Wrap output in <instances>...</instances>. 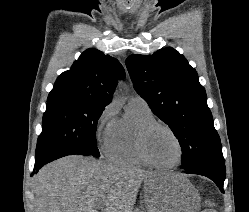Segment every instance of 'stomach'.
I'll list each match as a JSON object with an SVG mask.
<instances>
[{"instance_id": "0dacf381", "label": "stomach", "mask_w": 249, "mask_h": 212, "mask_svg": "<svg viewBox=\"0 0 249 212\" xmlns=\"http://www.w3.org/2000/svg\"><path fill=\"white\" fill-rule=\"evenodd\" d=\"M146 212H199L200 194L176 170H155L144 179Z\"/></svg>"}]
</instances>
